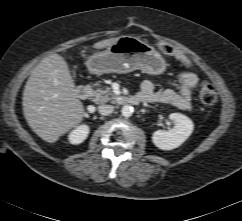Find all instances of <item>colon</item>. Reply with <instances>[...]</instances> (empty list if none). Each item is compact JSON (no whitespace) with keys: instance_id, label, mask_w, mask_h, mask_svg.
Here are the masks:
<instances>
[{"instance_id":"colon-1","label":"colon","mask_w":242,"mask_h":221,"mask_svg":"<svg viewBox=\"0 0 242 221\" xmlns=\"http://www.w3.org/2000/svg\"><path fill=\"white\" fill-rule=\"evenodd\" d=\"M158 49L165 54L175 57L184 67L190 68L192 66L189 57L173 45L169 43H159ZM197 94L199 101L206 106L214 104L217 99V92L214 85L206 81H199L197 83Z\"/></svg>"}]
</instances>
